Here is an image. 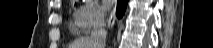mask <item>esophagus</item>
<instances>
[{
  "mask_svg": "<svg viewBox=\"0 0 213 48\" xmlns=\"http://www.w3.org/2000/svg\"><path fill=\"white\" fill-rule=\"evenodd\" d=\"M116 21V16H115V9L111 12L109 20H108V27L111 30L114 23Z\"/></svg>",
  "mask_w": 213,
  "mask_h": 48,
  "instance_id": "34e87169",
  "label": "esophagus"
}]
</instances>
